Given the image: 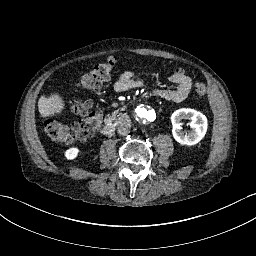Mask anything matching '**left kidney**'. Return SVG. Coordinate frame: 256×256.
<instances>
[{
  "instance_id": "5707ae66",
  "label": "left kidney",
  "mask_w": 256,
  "mask_h": 256,
  "mask_svg": "<svg viewBox=\"0 0 256 256\" xmlns=\"http://www.w3.org/2000/svg\"><path fill=\"white\" fill-rule=\"evenodd\" d=\"M182 119H190L191 130L188 133L182 131ZM172 134L180 144H197L206 134L207 118L201 112L190 108H181L173 112L171 116Z\"/></svg>"
}]
</instances>
